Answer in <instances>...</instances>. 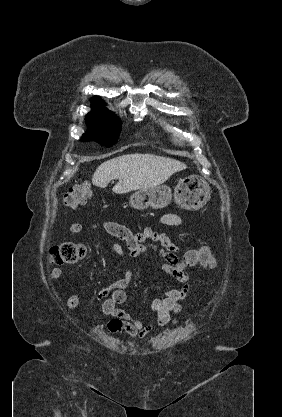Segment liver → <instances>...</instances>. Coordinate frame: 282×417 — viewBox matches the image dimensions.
<instances>
[{"instance_id": "1", "label": "liver", "mask_w": 282, "mask_h": 417, "mask_svg": "<svg viewBox=\"0 0 282 417\" xmlns=\"http://www.w3.org/2000/svg\"><path fill=\"white\" fill-rule=\"evenodd\" d=\"M184 168H187V164L175 158L135 152V154H122L99 164L92 176V182L95 186L105 188L112 178H118L119 182L112 190L117 194H123L138 188L141 190V188L158 186L171 174Z\"/></svg>"}]
</instances>
